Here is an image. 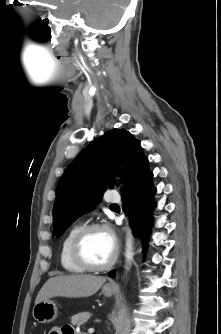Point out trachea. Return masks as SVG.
Instances as JSON below:
<instances>
[{
	"label": "trachea",
	"instance_id": "3493384b",
	"mask_svg": "<svg viewBox=\"0 0 221 334\" xmlns=\"http://www.w3.org/2000/svg\"><path fill=\"white\" fill-rule=\"evenodd\" d=\"M115 206H118L117 204H112L111 207H115Z\"/></svg>",
	"mask_w": 221,
	"mask_h": 334
}]
</instances>
